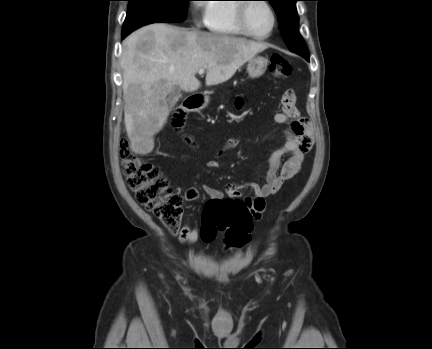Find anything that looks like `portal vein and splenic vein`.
<instances>
[{
  "label": "portal vein and splenic vein",
  "mask_w": 432,
  "mask_h": 349,
  "mask_svg": "<svg viewBox=\"0 0 432 349\" xmlns=\"http://www.w3.org/2000/svg\"><path fill=\"white\" fill-rule=\"evenodd\" d=\"M204 72H205V70H204V69H200V70L198 71V74H199V75H203V74H204Z\"/></svg>",
  "instance_id": "obj_1"
}]
</instances>
